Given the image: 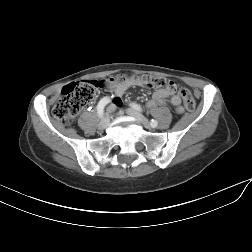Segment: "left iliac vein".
I'll return each mask as SVG.
<instances>
[{
    "mask_svg": "<svg viewBox=\"0 0 252 252\" xmlns=\"http://www.w3.org/2000/svg\"><path fill=\"white\" fill-rule=\"evenodd\" d=\"M114 106H112L113 108ZM126 113L129 116H132L133 118H135L139 123L143 124L145 127H149V122L148 120L139 112L135 111L134 109L128 108L126 109Z\"/></svg>",
    "mask_w": 252,
    "mask_h": 252,
    "instance_id": "4c4485c4",
    "label": "left iliac vein"
}]
</instances>
